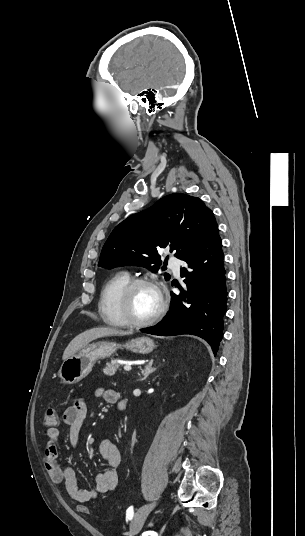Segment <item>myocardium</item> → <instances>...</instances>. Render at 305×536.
<instances>
[{"label": "myocardium", "mask_w": 305, "mask_h": 536, "mask_svg": "<svg viewBox=\"0 0 305 536\" xmlns=\"http://www.w3.org/2000/svg\"><path fill=\"white\" fill-rule=\"evenodd\" d=\"M151 285L153 286L160 298V305L158 310L152 315L137 319L134 318L130 312V298L133 290L139 285ZM168 305L167 298L161 289L160 285L150 277H138L130 279V281L124 286L119 296V310L122 318L124 319L125 325L129 327H142L149 325L158 319H160L166 312Z\"/></svg>", "instance_id": "f54148a6"}]
</instances>
